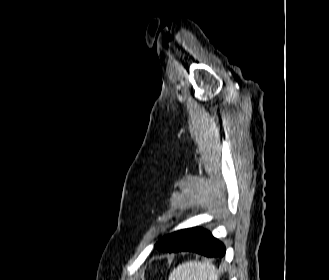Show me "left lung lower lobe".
Wrapping results in <instances>:
<instances>
[{"label": "left lung lower lobe", "instance_id": "0a47b994", "mask_svg": "<svg viewBox=\"0 0 329 280\" xmlns=\"http://www.w3.org/2000/svg\"><path fill=\"white\" fill-rule=\"evenodd\" d=\"M164 252L193 251L208 257H222L225 247L210 232L201 228L183 229L167 235Z\"/></svg>", "mask_w": 329, "mask_h": 280}]
</instances>
